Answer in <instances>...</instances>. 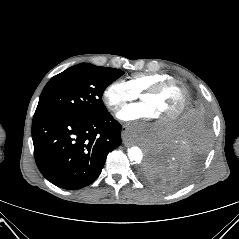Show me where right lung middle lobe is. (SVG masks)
<instances>
[{"label": "right lung middle lobe", "instance_id": "right-lung-middle-lobe-1", "mask_svg": "<svg viewBox=\"0 0 239 239\" xmlns=\"http://www.w3.org/2000/svg\"><path fill=\"white\" fill-rule=\"evenodd\" d=\"M123 75L119 69L82 63L49 80L36 108V115L65 114L93 117L107 112L102 95Z\"/></svg>", "mask_w": 239, "mask_h": 239}]
</instances>
